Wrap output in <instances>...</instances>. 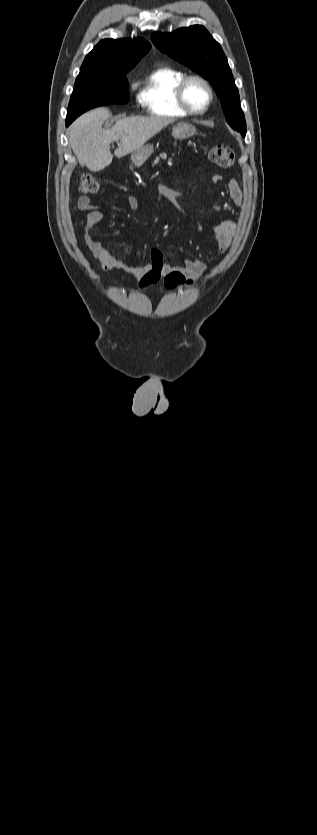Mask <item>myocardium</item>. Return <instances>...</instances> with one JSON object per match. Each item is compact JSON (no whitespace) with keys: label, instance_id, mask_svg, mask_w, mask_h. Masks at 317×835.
<instances>
[{"label":"myocardium","instance_id":"f54148a6","mask_svg":"<svg viewBox=\"0 0 317 835\" xmlns=\"http://www.w3.org/2000/svg\"><path fill=\"white\" fill-rule=\"evenodd\" d=\"M193 81H197V82H200L201 84H203L206 87V89L208 91V94H209V98H208L207 103L201 109L192 108V106L187 101V97H186L187 88H188V85ZM176 96H177V101H178L179 106L187 114L202 115V114H204L208 111V109L210 108V106L213 103L214 89H213L211 83L205 77L200 76V75H187L179 83V85L177 87V90H176Z\"/></svg>","mask_w":317,"mask_h":835}]
</instances>
